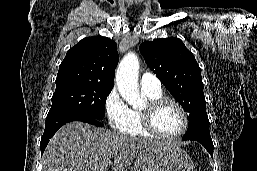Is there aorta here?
I'll return each instance as SVG.
<instances>
[{
	"instance_id": "1",
	"label": "aorta",
	"mask_w": 257,
	"mask_h": 171,
	"mask_svg": "<svg viewBox=\"0 0 257 171\" xmlns=\"http://www.w3.org/2000/svg\"><path fill=\"white\" fill-rule=\"evenodd\" d=\"M139 60L134 53H128L120 62L116 72V84L120 95L133 107L143 103L138 85Z\"/></svg>"
}]
</instances>
